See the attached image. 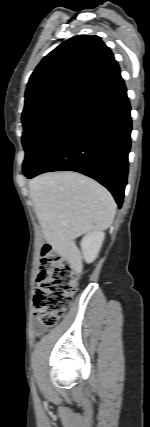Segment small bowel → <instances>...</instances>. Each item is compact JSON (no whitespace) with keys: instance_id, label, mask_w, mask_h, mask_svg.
I'll use <instances>...</instances> for the list:
<instances>
[{"instance_id":"obj_1","label":"small bowel","mask_w":150,"mask_h":427,"mask_svg":"<svg viewBox=\"0 0 150 427\" xmlns=\"http://www.w3.org/2000/svg\"><path fill=\"white\" fill-rule=\"evenodd\" d=\"M43 332V328L41 326L35 327V334L39 335Z\"/></svg>"}]
</instances>
